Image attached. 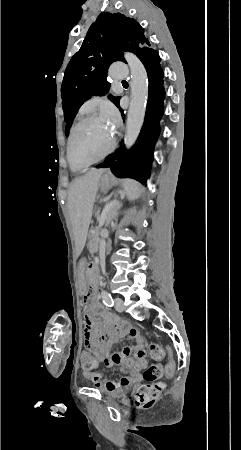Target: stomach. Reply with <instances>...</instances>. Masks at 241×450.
I'll use <instances>...</instances> for the list:
<instances>
[{
  "instance_id": "obj_1",
  "label": "stomach",
  "mask_w": 241,
  "mask_h": 450,
  "mask_svg": "<svg viewBox=\"0 0 241 450\" xmlns=\"http://www.w3.org/2000/svg\"><path fill=\"white\" fill-rule=\"evenodd\" d=\"M111 185V179L108 175H103L100 178L99 181V186L101 188L102 191H106L110 188ZM86 261L85 260H81L79 262V266H78V287L82 292H85L86 290V284H87V279H86Z\"/></svg>"
}]
</instances>
